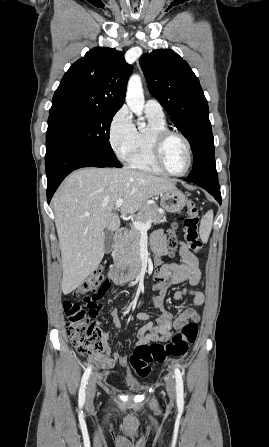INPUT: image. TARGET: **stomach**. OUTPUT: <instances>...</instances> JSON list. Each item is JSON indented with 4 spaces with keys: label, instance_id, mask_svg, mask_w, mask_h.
I'll use <instances>...</instances> for the list:
<instances>
[{
    "label": "stomach",
    "instance_id": "1",
    "mask_svg": "<svg viewBox=\"0 0 269 447\" xmlns=\"http://www.w3.org/2000/svg\"><path fill=\"white\" fill-rule=\"evenodd\" d=\"M160 204L166 212L176 214V212H181L184 206H186L187 198L180 190H166V192H162Z\"/></svg>",
    "mask_w": 269,
    "mask_h": 447
}]
</instances>
